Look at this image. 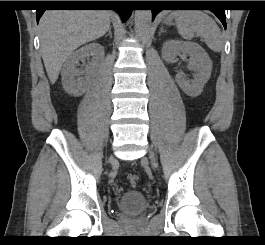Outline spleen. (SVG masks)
I'll list each match as a JSON object with an SVG mask.
<instances>
[{
	"label": "spleen",
	"mask_w": 265,
	"mask_h": 245,
	"mask_svg": "<svg viewBox=\"0 0 265 245\" xmlns=\"http://www.w3.org/2000/svg\"><path fill=\"white\" fill-rule=\"evenodd\" d=\"M171 18H175L178 33L187 40L194 36L201 37L208 48L220 52L223 38L215 21L202 11H173Z\"/></svg>",
	"instance_id": "obj_1"
}]
</instances>
